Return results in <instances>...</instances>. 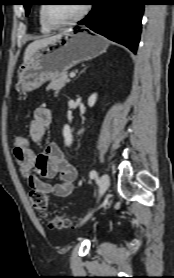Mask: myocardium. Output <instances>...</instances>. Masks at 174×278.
Wrapping results in <instances>:
<instances>
[{"label":"myocardium","instance_id":"1","mask_svg":"<svg viewBox=\"0 0 174 278\" xmlns=\"http://www.w3.org/2000/svg\"><path fill=\"white\" fill-rule=\"evenodd\" d=\"M48 6L49 5H43L41 13H42V18H43L44 22L51 29H60V28L72 25V24L80 21L81 19H83L87 15V13L89 11V8H90V6L88 4H84L81 11L75 17H73L72 19H70L68 21H65V22L56 23V22L52 21L50 19V17L48 16V11H47Z\"/></svg>","mask_w":174,"mask_h":278}]
</instances>
